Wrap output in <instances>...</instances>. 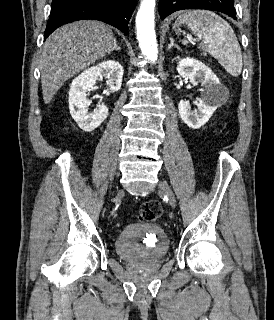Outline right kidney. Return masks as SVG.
<instances>
[{
	"label": "right kidney",
	"instance_id": "ca27d5eb",
	"mask_svg": "<svg viewBox=\"0 0 274 320\" xmlns=\"http://www.w3.org/2000/svg\"><path fill=\"white\" fill-rule=\"evenodd\" d=\"M123 68L115 60L101 62L98 66H92L84 70L77 78H74L69 90L70 114L83 132H93L102 122L108 118L109 110L103 102L97 104L93 112H88L91 100H88L86 92L91 90L99 78H106L107 92H118L122 86Z\"/></svg>",
	"mask_w": 274,
	"mask_h": 320
}]
</instances>
